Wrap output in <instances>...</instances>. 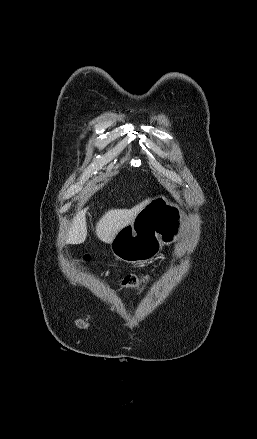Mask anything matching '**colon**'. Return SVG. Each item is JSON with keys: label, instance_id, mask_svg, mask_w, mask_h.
I'll return each instance as SVG.
<instances>
[{"label": "colon", "instance_id": "obj_1", "mask_svg": "<svg viewBox=\"0 0 257 439\" xmlns=\"http://www.w3.org/2000/svg\"><path fill=\"white\" fill-rule=\"evenodd\" d=\"M88 258V255L84 256L85 260H88ZM149 278V276H137L135 274H128L122 280V287L132 291H138L140 289V285L143 282L148 281Z\"/></svg>", "mask_w": 257, "mask_h": 439}]
</instances>
